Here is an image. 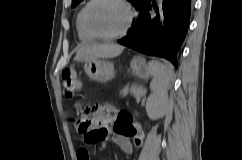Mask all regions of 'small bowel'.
<instances>
[{
  "instance_id": "small-bowel-1",
  "label": "small bowel",
  "mask_w": 242,
  "mask_h": 160,
  "mask_svg": "<svg viewBox=\"0 0 242 160\" xmlns=\"http://www.w3.org/2000/svg\"><path fill=\"white\" fill-rule=\"evenodd\" d=\"M111 118L112 113L110 111H105L98 119L93 120L91 125L95 127V129L107 132L106 124L111 122ZM142 138L143 132L136 128L135 132L130 134L120 133L113 129L111 139L126 155H130L133 152V145L139 146ZM77 160H90L89 152L86 148H80L77 151Z\"/></svg>"
}]
</instances>
